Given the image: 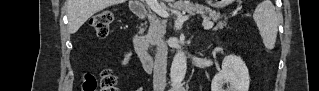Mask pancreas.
Masks as SVG:
<instances>
[{
  "mask_svg": "<svg viewBox=\"0 0 319 91\" xmlns=\"http://www.w3.org/2000/svg\"><path fill=\"white\" fill-rule=\"evenodd\" d=\"M174 8L178 10H185L188 13L198 12L202 13L205 10L209 14V19L213 21H218L221 19V15L218 12L211 10L210 8H204L199 5H173ZM150 27L148 33L146 35V40L151 44L155 45L166 32V22L164 20L159 19L156 16H150ZM226 25V21H219L215 27V29H222Z\"/></svg>",
  "mask_w": 319,
  "mask_h": 91,
  "instance_id": "pancreas-1",
  "label": "pancreas"
}]
</instances>
